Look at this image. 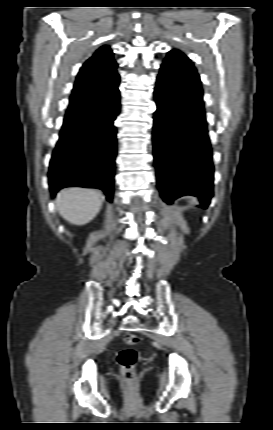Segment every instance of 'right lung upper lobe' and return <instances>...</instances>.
Returning <instances> with one entry per match:
<instances>
[{
	"instance_id": "right-lung-upper-lobe-1",
	"label": "right lung upper lobe",
	"mask_w": 273,
	"mask_h": 430,
	"mask_svg": "<svg viewBox=\"0 0 273 430\" xmlns=\"http://www.w3.org/2000/svg\"><path fill=\"white\" fill-rule=\"evenodd\" d=\"M116 68L117 63L113 59V52L110 47L106 45L100 47L80 69L68 109L88 101L92 87L118 76Z\"/></svg>"
}]
</instances>
